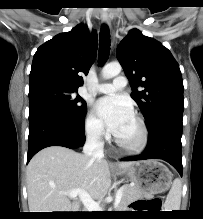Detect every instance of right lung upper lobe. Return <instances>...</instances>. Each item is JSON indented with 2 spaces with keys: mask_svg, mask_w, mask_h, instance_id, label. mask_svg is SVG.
Wrapping results in <instances>:
<instances>
[{
  "mask_svg": "<svg viewBox=\"0 0 203 219\" xmlns=\"http://www.w3.org/2000/svg\"><path fill=\"white\" fill-rule=\"evenodd\" d=\"M97 55V36L79 24L41 45L33 58L30 83L52 81L78 89Z\"/></svg>",
  "mask_w": 203,
  "mask_h": 219,
  "instance_id": "cb5924a9",
  "label": "right lung upper lobe"
}]
</instances>
